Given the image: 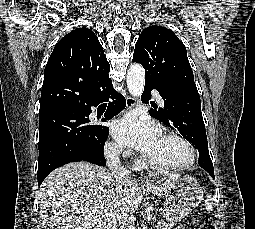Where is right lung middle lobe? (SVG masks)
I'll return each mask as SVG.
<instances>
[{
  "instance_id": "dd1d6c3e",
  "label": "right lung middle lobe",
  "mask_w": 255,
  "mask_h": 229,
  "mask_svg": "<svg viewBox=\"0 0 255 229\" xmlns=\"http://www.w3.org/2000/svg\"><path fill=\"white\" fill-rule=\"evenodd\" d=\"M89 116L74 110L39 117L38 172H48L72 161L94 160L104 155L102 128Z\"/></svg>"
}]
</instances>
